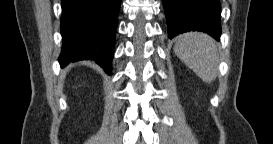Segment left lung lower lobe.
<instances>
[{"instance_id":"left-lung-lower-lobe-1","label":"left lung lower lobe","mask_w":273,"mask_h":144,"mask_svg":"<svg viewBox=\"0 0 273 144\" xmlns=\"http://www.w3.org/2000/svg\"><path fill=\"white\" fill-rule=\"evenodd\" d=\"M168 37L180 33L203 31L216 40L221 35V4L219 0H163Z\"/></svg>"}]
</instances>
